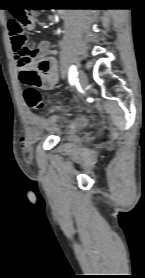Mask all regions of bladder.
<instances>
[{
  "instance_id": "31cf9c89",
  "label": "bladder",
  "mask_w": 145,
  "mask_h": 278,
  "mask_svg": "<svg viewBox=\"0 0 145 278\" xmlns=\"http://www.w3.org/2000/svg\"><path fill=\"white\" fill-rule=\"evenodd\" d=\"M87 125L86 121H80L75 123L74 125L69 126V130H79ZM63 137V135H62Z\"/></svg>"
}]
</instances>
